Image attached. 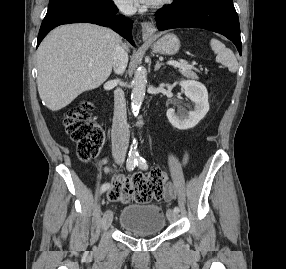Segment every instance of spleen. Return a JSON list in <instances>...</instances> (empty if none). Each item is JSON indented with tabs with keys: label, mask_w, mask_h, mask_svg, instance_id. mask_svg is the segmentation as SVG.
I'll return each mask as SVG.
<instances>
[{
	"label": "spleen",
	"mask_w": 286,
	"mask_h": 269,
	"mask_svg": "<svg viewBox=\"0 0 286 269\" xmlns=\"http://www.w3.org/2000/svg\"><path fill=\"white\" fill-rule=\"evenodd\" d=\"M210 46L216 54V61L226 65L229 71L235 73L238 70V62L233 52L217 39L210 41Z\"/></svg>",
	"instance_id": "3e777b00"
}]
</instances>
